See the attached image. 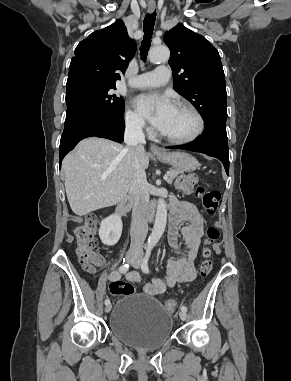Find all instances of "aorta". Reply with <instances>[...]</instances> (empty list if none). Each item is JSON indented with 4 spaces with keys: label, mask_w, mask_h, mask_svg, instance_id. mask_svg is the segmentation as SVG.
<instances>
[{
    "label": "aorta",
    "mask_w": 291,
    "mask_h": 381,
    "mask_svg": "<svg viewBox=\"0 0 291 381\" xmlns=\"http://www.w3.org/2000/svg\"><path fill=\"white\" fill-rule=\"evenodd\" d=\"M170 57V51L166 46H155L149 51V59L152 63L165 62ZM167 221V206L163 199L158 200L155 223L148 239V248H153L163 235Z\"/></svg>",
    "instance_id": "obj_1"
}]
</instances>
